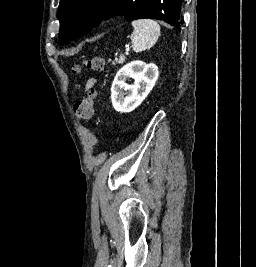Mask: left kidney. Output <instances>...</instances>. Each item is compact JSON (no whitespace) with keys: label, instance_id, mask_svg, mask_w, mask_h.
Instances as JSON below:
<instances>
[{"label":"left kidney","instance_id":"obj_1","mask_svg":"<svg viewBox=\"0 0 256 267\" xmlns=\"http://www.w3.org/2000/svg\"><path fill=\"white\" fill-rule=\"evenodd\" d=\"M156 64H145L140 60L129 62L117 72L111 86V102L116 112H132L145 100L158 80ZM132 78L134 84H126Z\"/></svg>","mask_w":256,"mask_h":267}]
</instances>
